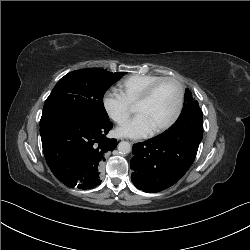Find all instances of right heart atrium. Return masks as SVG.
Instances as JSON below:
<instances>
[{
	"instance_id": "d8ad5b80",
	"label": "right heart atrium",
	"mask_w": 250,
	"mask_h": 250,
	"mask_svg": "<svg viewBox=\"0 0 250 250\" xmlns=\"http://www.w3.org/2000/svg\"><path fill=\"white\" fill-rule=\"evenodd\" d=\"M102 105L109 118L118 124L125 122L131 114V104L115 89L104 93Z\"/></svg>"
}]
</instances>
